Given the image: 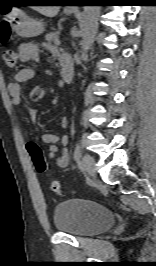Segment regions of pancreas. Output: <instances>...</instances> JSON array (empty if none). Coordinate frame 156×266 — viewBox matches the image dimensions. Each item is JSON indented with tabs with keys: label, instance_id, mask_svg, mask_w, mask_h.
<instances>
[{
	"label": "pancreas",
	"instance_id": "1",
	"mask_svg": "<svg viewBox=\"0 0 156 266\" xmlns=\"http://www.w3.org/2000/svg\"><path fill=\"white\" fill-rule=\"evenodd\" d=\"M45 39H46L45 45L51 46L52 44H56V42L59 39V32H51V33H48L45 36Z\"/></svg>",
	"mask_w": 156,
	"mask_h": 266
}]
</instances>
